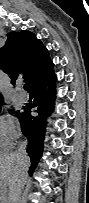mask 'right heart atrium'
Masks as SVG:
<instances>
[{
  "label": "right heart atrium",
  "instance_id": "d8ad5b80",
  "mask_svg": "<svg viewBox=\"0 0 89 203\" xmlns=\"http://www.w3.org/2000/svg\"><path fill=\"white\" fill-rule=\"evenodd\" d=\"M17 137V131L13 118L5 114L0 118V142L3 148H10Z\"/></svg>",
  "mask_w": 89,
  "mask_h": 203
}]
</instances>
